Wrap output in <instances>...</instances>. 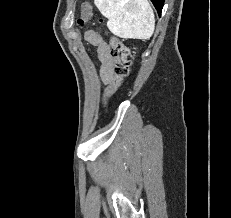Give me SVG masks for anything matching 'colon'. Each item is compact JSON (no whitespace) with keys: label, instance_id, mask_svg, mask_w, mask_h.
Returning a JSON list of instances; mask_svg holds the SVG:
<instances>
[{"label":"colon","instance_id":"colon-1","mask_svg":"<svg viewBox=\"0 0 231 218\" xmlns=\"http://www.w3.org/2000/svg\"><path fill=\"white\" fill-rule=\"evenodd\" d=\"M92 16L91 5L85 2L82 5L81 17L78 20L80 25L85 24ZM111 54L115 60L114 78L107 86L103 96V108L108 111L109 101L119 89L123 79L129 75L131 67L130 49L119 38L112 36L110 38Z\"/></svg>","mask_w":231,"mask_h":218}]
</instances>
